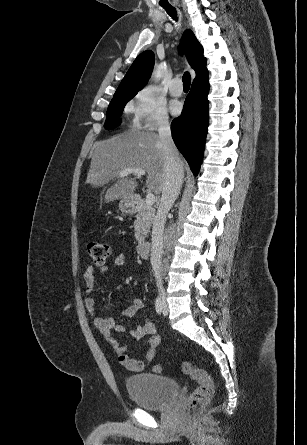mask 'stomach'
<instances>
[{
  "mask_svg": "<svg viewBox=\"0 0 307 445\" xmlns=\"http://www.w3.org/2000/svg\"><path fill=\"white\" fill-rule=\"evenodd\" d=\"M132 204L133 202H131L129 198H121L119 202V210H121V212H125L126 214V212H130Z\"/></svg>",
  "mask_w": 307,
  "mask_h": 445,
  "instance_id": "1",
  "label": "stomach"
}]
</instances>
